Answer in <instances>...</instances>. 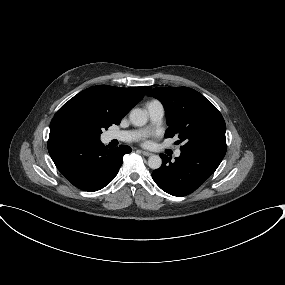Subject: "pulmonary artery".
Wrapping results in <instances>:
<instances>
[{"label": "pulmonary artery", "instance_id": "1", "mask_svg": "<svg viewBox=\"0 0 285 285\" xmlns=\"http://www.w3.org/2000/svg\"><path fill=\"white\" fill-rule=\"evenodd\" d=\"M147 113L150 119V128L158 126L163 120L165 111L163 105L158 101L149 102L146 105ZM149 128V129H150ZM149 129L140 131H121V132H110L107 135L108 140H119L124 142L135 141L144 135ZM181 155L180 150L175 151V156L179 157Z\"/></svg>", "mask_w": 285, "mask_h": 285}]
</instances>
